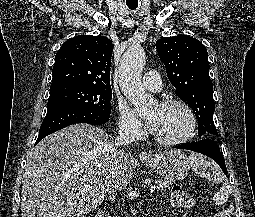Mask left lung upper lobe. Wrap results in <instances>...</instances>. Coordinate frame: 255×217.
Masks as SVG:
<instances>
[{"label": "left lung upper lobe", "mask_w": 255, "mask_h": 217, "mask_svg": "<svg viewBox=\"0 0 255 217\" xmlns=\"http://www.w3.org/2000/svg\"><path fill=\"white\" fill-rule=\"evenodd\" d=\"M156 49L176 95L192 108L198 119L199 137L215 139V102L206 47L193 37L178 35L157 40Z\"/></svg>", "instance_id": "5c2ea615"}]
</instances>
